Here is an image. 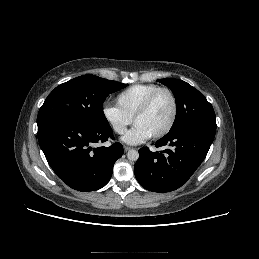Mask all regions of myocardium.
<instances>
[{
  "label": "myocardium",
  "instance_id": "myocardium-1",
  "mask_svg": "<svg viewBox=\"0 0 259 259\" xmlns=\"http://www.w3.org/2000/svg\"><path fill=\"white\" fill-rule=\"evenodd\" d=\"M163 92L167 93L170 96V98L172 100V104H173V112H172V116H171V119L168 122V124L161 131H159L156 134L151 136L153 139H159V138L165 136L173 128V126L176 122L177 115H178V101H177V98H176V95L174 94V92L171 89L166 88V87L158 88L144 100L142 105L139 107V109L136 111V113L133 116V122L135 124V122L137 121L138 118H140L141 116H143L144 114H146L148 112V110L150 109L155 98L160 93H163Z\"/></svg>",
  "mask_w": 259,
  "mask_h": 259
}]
</instances>
